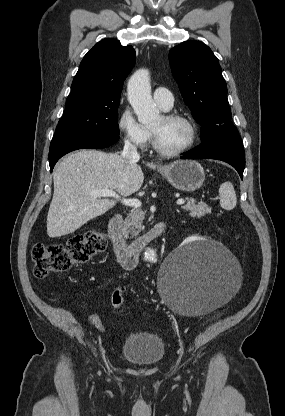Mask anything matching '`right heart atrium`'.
Instances as JSON below:
<instances>
[{
  "mask_svg": "<svg viewBox=\"0 0 285 416\" xmlns=\"http://www.w3.org/2000/svg\"><path fill=\"white\" fill-rule=\"evenodd\" d=\"M119 130L124 139L139 149H146L151 140L149 129L140 123L130 107H124L119 117Z\"/></svg>",
  "mask_w": 285,
  "mask_h": 416,
  "instance_id": "right-heart-atrium-1",
  "label": "right heart atrium"
}]
</instances>
